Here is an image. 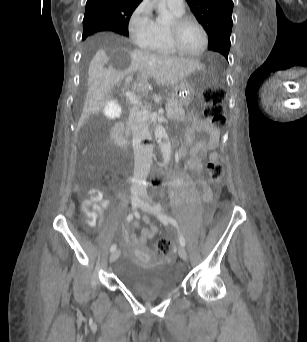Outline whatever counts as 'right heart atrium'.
<instances>
[{"mask_svg":"<svg viewBox=\"0 0 307 342\" xmlns=\"http://www.w3.org/2000/svg\"><path fill=\"white\" fill-rule=\"evenodd\" d=\"M127 33L130 41L142 46L155 39L158 28L150 13L144 6L137 7L129 16Z\"/></svg>","mask_w":307,"mask_h":342,"instance_id":"obj_1","label":"right heart atrium"}]
</instances>
